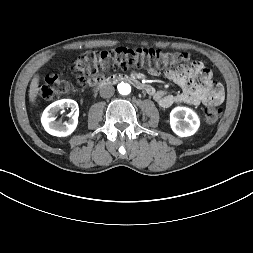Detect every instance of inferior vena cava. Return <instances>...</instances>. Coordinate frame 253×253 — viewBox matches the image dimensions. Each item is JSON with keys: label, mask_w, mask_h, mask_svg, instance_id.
<instances>
[{"label": "inferior vena cava", "mask_w": 253, "mask_h": 253, "mask_svg": "<svg viewBox=\"0 0 253 253\" xmlns=\"http://www.w3.org/2000/svg\"><path fill=\"white\" fill-rule=\"evenodd\" d=\"M114 92H115V89L113 86L106 85L100 89V96L103 98H109L113 96Z\"/></svg>", "instance_id": "602c4592"}]
</instances>
